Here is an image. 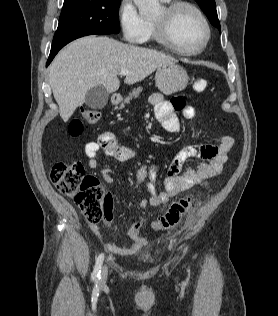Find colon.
Masks as SVG:
<instances>
[{
    "instance_id": "5ec220e1",
    "label": "colon",
    "mask_w": 278,
    "mask_h": 316,
    "mask_svg": "<svg viewBox=\"0 0 278 316\" xmlns=\"http://www.w3.org/2000/svg\"><path fill=\"white\" fill-rule=\"evenodd\" d=\"M206 87L205 79H198L193 85L196 92H202ZM81 115L86 122L91 124L98 122L101 118L99 111L91 109H83ZM82 129L80 120L71 121L69 125L71 135H79ZM50 180L59 192L75 201L88 223L96 225L101 221L106 197L105 189L97 178L86 174L80 162L55 164L50 171ZM192 206L193 200L190 197L174 202L165 213L153 221V227L163 231L177 226Z\"/></svg>"
}]
</instances>
